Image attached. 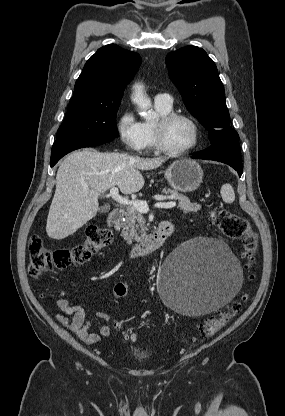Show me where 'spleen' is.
I'll return each instance as SVG.
<instances>
[{
  "instance_id": "3e777b00",
  "label": "spleen",
  "mask_w": 285,
  "mask_h": 416,
  "mask_svg": "<svg viewBox=\"0 0 285 416\" xmlns=\"http://www.w3.org/2000/svg\"><path fill=\"white\" fill-rule=\"evenodd\" d=\"M221 198L226 204H232L235 200V194L232 186L230 184H224L220 190Z\"/></svg>"
}]
</instances>
